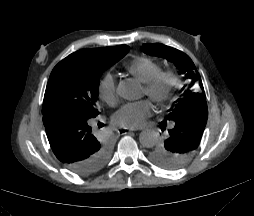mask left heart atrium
<instances>
[{
	"label": "left heart atrium",
	"mask_w": 254,
	"mask_h": 216,
	"mask_svg": "<svg viewBox=\"0 0 254 216\" xmlns=\"http://www.w3.org/2000/svg\"><path fill=\"white\" fill-rule=\"evenodd\" d=\"M150 110V104L145 101L130 104L118 114L117 120L122 126H134L144 120Z\"/></svg>",
	"instance_id": "39dd6f15"
}]
</instances>
